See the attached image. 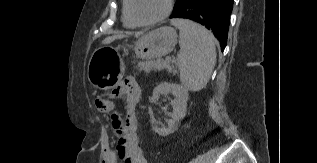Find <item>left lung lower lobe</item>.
<instances>
[{
    "instance_id": "obj_1",
    "label": "left lung lower lobe",
    "mask_w": 317,
    "mask_h": 163,
    "mask_svg": "<svg viewBox=\"0 0 317 163\" xmlns=\"http://www.w3.org/2000/svg\"><path fill=\"white\" fill-rule=\"evenodd\" d=\"M233 0H178L170 18H186L211 30L223 51L232 12Z\"/></svg>"
}]
</instances>
